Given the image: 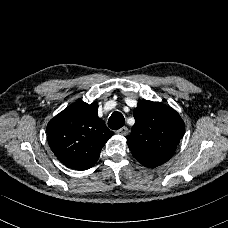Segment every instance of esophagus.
Here are the masks:
<instances>
[{
    "label": "esophagus",
    "instance_id": "1",
    "mask_svg": "<svg viewBox=\"0 0 228 228\" xmlns=\"http://www.w3.org/2000/svg\"><path fill=\"white\" fill-rule=\"evenodd\" d=\"M116 133L119 135H127L129 133V129L127 126H123L119 130H117Z\"/></svg>",
    "mask_w": 228,
    "mask_h": 228
}]
</instances>
